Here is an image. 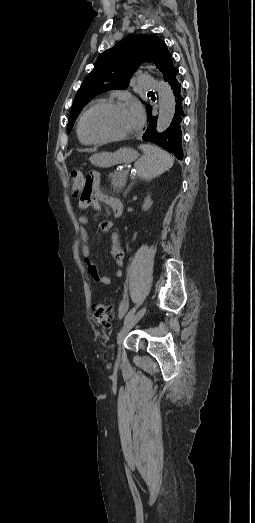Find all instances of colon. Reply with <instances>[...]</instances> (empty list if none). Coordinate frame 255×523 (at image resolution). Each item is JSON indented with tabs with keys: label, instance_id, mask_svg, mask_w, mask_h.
Listing matches in <instances>:
<instances>
[{
	"label": "colon",
	"instance_id": "1",
	"mask_svg": "<svg viewBox=\"0 0 255 523\" xmlns=\"http://www.w3.org/2000/svg\"><path fill=\"white\" fill-rule=\"evenodd\" d=\"M72 194L74 197H86L91 188V182L89 178L78 170H74L70 174ZM93 318L95 322L101 326L109 327L113 319L112 309L110 305L105 303H96L92 309Z\"/></svg>",
	"mask_w": 255,
	"mask_h": 523
}]
</instances>
